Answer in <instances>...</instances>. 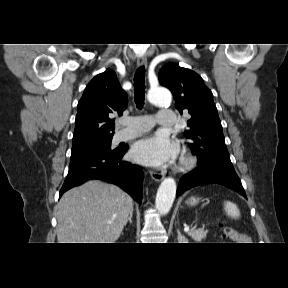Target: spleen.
Segmentation results:
<instances>
[{"label": "spleen", "instance_id": "3e777b00", "mask_svg": "<svg viewBox=\"0 0 288 288\" xmlns=\"http://www.w3.org/2000/svg\"><path fill=\"white\" fill-rule=\"evenodd\" d=\"M224 210L227 213V215L230 216L231 218L236 219L240 217V211L237 205L230 201L224 202Z\"/></svg>", "mask_w": 288, "mask_h": 288}]
</instances>
